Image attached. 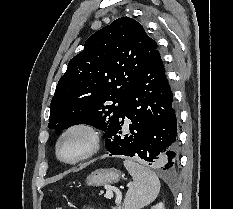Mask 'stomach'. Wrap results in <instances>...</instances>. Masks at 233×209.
<instances>
[{"label": "stomach", "mask_w": 233, "mask_h": 209, "mask_svg": "<svg viewBox=\"0 0 233 209\" xmlns=\"http://www.w3.org/2000/svg\"><path fill=\"white\" fill-rule=\"evenodd\" d=\"M120 180V172L114 168L96 169L86 178L89 186H103L105 184L116 183Z\"/></svg>", "instance_id": "obj_1"}]
</instances>
